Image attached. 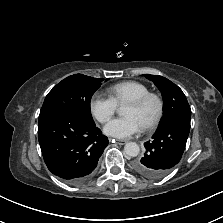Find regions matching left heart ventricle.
Returning <instances> with one entry per match:
<instances>
[{"label": "left heart ventricle", "mask_w": 223, "mask_h": 223, "mask_svg": "<svg viewBox=\"0 0 223 223\" xmlns=\"http://www.w3.org/2000/svg\"><path fill=\"white\" fill-rule=\"evenodd\" d=\"M157 109L158 104L156 100L150 99L141 107L127 104L123 110V115L134 117L142 127L155 116Z\"/></svg>", "instance_id": "obj_1"}]
</instances>
